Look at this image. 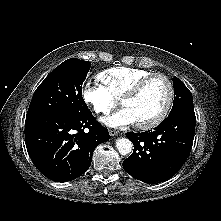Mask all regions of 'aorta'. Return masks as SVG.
Returning a JSON list of instances; mask_svg holds the SVG:
<instances>
[{
    "label": "aorta",
    "instance_id": "762f6f07",
    "mask_svg": "<svg viewBox=\"0 0 221 221\" xmlns=\"http://www.w3.org/2000/svg\"><path fill=\"white\" fill-rule=\"evenodd\" d=\"M132 142L127 138H119L116 141V147L121 155H127L132 152Z\"/></svg>",
    "mask_w": 221,
    "mask_h": 221
}]
</instances>
